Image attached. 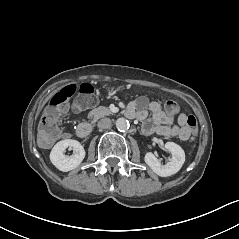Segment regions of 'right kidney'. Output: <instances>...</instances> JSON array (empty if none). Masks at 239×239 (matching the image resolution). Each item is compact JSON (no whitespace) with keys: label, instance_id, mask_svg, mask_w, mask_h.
Segmentation results:
<instances>
[{"label":"right kidney","instance_id":"ca27d5eb","mask_svg":"<svg viewBox=\"0 0 239 239\" xmlns=\"http://www.w3.org/2000/svg\"><path fill=\"white\" fill-rule=\"evenodd\" d=\"M74 150L72 156H65L64 152ZM51 163L62 172H69L76 169L83 161L85 157V151L82 145L75 140H61L57 142L50 152Z\"/></svg>","mask_w":239,"mask_h":239}]
</instances>
